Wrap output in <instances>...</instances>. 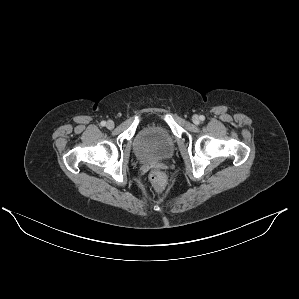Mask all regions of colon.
Returning a JSON list of instances; mask_svg holds the SVG:
<instances>
[{"label":"colon","mask_w":299,"mask_h":299,"mask_svg":"<svg viewBox=\"0 0 299 299\" xmlns=\"http://www.w3.org/2000/svg\"><path fill=\"white\" fill-rule=\"evenodd\" d=\"M149 180L156 192H162L166 187L167 179L161 171H151L149 174Z\"/></svg>","instance_id":"obj_1"}]
</instances>
